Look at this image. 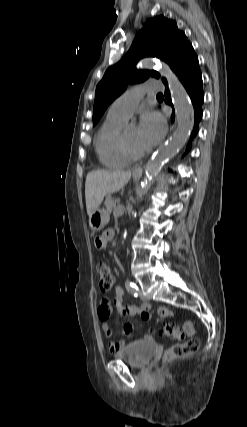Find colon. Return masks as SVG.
Masks as SVG:
<instances>
[{"label":"colon","mask_w":247,"mask_h":427,"mask_svg":"<svg viewBox=\"0 0 247 427\" xmlns=\"http://www.w3.org/2000/svg\"><path fill=\"white\" fill-rule=\"evenodd\" d=\"M99 286L102 291H109L114 285V275L109 266L103 262L98 263ZM164 335L174 339L189 338L186 342L173 345L165 355L166 359H174L188 356L199 347V341L193 338L195 327L191 321H186L183 328L172 324H166L163 328Z\"/></svg>","instance_id":"obj_1"}]
</instances>
